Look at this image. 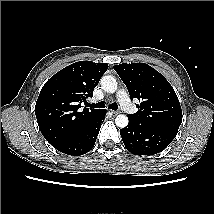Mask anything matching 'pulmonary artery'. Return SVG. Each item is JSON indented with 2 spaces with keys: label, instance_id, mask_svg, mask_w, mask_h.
Wrapping results in <instances>:
<instances>
[{
  "label": "pulmonary artery",
  "instance_id": "obj_1",
  "mask_svg": "<svg viewBox=\"0 0 214 214\" xmlns=\"http://www.w3.org/2000/svg\"><path fill=\"white\" fill-rule=\"evenodd\" d=\"M116 98L124 110H126L128 113H132L133 108L129 100L127 91L125 89L123 88L119 89L117 91Z\"/></svg>",
  "mask_w": 214,
  "mask_h": 214
}]
</instances>
